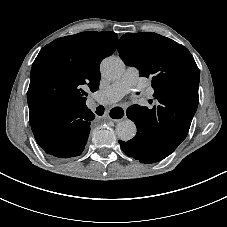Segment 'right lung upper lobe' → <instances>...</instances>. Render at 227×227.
Returning <instances> with one entry per match:
<instances>
[{
  "mask_svg": "<svg viewBox=\"0 0 227 227\" xmlns=\"http://www.w3.org/2000/svg\"><path fill=\"white\" fill-rule=\"evenodd\" d=\"M117 41L114 32H81L43 47L32 65L28 105L47 101L64 109L86 106L83 89H98L100 62L115 51Z\"/></svg>",
  "mask_w": 227,
  "mask_h": 227,
  "instance_id": "right-lung-upper-lobe-1",
  "label": "right lung upper lobe"
}]
</instances>
